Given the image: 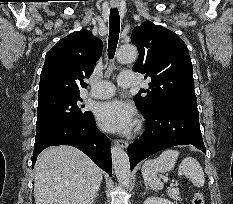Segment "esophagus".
<instances>
[{
  "label": "esophagus",
  "instance_id": "1",
  "mask_svg": "<svg viewBox=\"0 0 233 204\" xmlns=\"http://www.w3.org/2000/svg\"><path fill=\"white\" fill-rule=\"evenodd\" d=\"M114 143L123 149H126L128 147V142L122 139H117L114 141Z\"/></svg>",
  "mask_w": 233,
  "mask_h": 204
}]
</instances>
